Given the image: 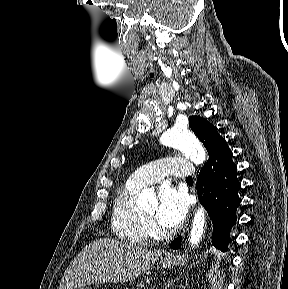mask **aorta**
Listing matches in <instances>:
<instances>
[{"label":"aorta","instance_id":"1","mask_svg":"<svg viewBox=\"0 0 288 289\" xmlns=\"http://www.w3.org/2000/svg\"><path fill=\"white\" fill-rule=\"evenodd\" d=\"M162 143L166 146L176 148L183 152L194 164H203L206 159V152L200 142L188 131L186 127L175 126L165 132L162 136ZM137 206L143 209L155 210L157 201L149 190L140 193L137 199ZM206 213L201 206L197 209L189 236V244L198 246L204 234Z\"/></svg>","mask_w":288,"mask_h":289}]
</instances>
